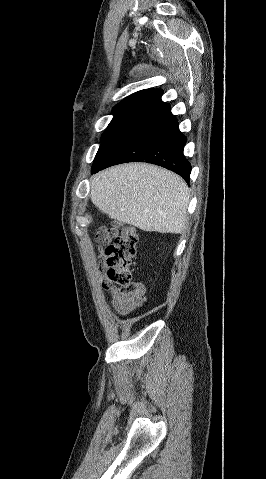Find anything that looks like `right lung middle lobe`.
<instances>
[{"mask_svg":"<svg viewBox=\"0 0 266 479\" xmlns=\"http://www.w3.org/2000/svg\"><path fill=\"white\" fill-rule=\"evenodd\" d=\"M114 118L108 125L106 131L102 135V144L96 154L95 159L98 155L103 151V149L107 146V144L112 140V138L137 114L131 112H121V113H113ZM95 161V160H94Z\"/></svg>","mask_w":266,"mask_h":479,"instance_id":"right-lung-middle-lobe-1","label":"right lung middle lobe"}]
</instances>
